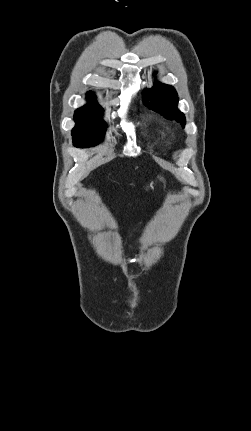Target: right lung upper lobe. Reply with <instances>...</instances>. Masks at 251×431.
Returning <instances> with one entry per match:
<instances>
[{
    "mask_svg": "<svg viewBox=\"0 0 251 431\" xmlns=\"http://www.w3.org/2000/svg\"><path fill=\"white\" fill-rule=\"evenodd\" d=\"M88 94H89V95H93V96L95 95L93 92H89Z\"/></svg>",
    "mask_w": 251,
    "mask_h": 431,
    "instance_id": "obj_1",
    "label": "right lung upper lobe"
}]
</instances>
